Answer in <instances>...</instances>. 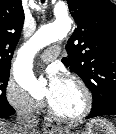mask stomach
<instances>
[{
	"label": "stomach",
	"instance_id": "1",
	"mask_svg": "<svg viewBox=\"0 0 116 134\" xmlns=\"http://www.w3.org/2000/svg\"><path fill=\"white\" fill-rule=\"evenodd\" d=\"M60 134H116V129L108 120L96 118L87 122L81 131L74 133L67 128L61 131Z\"/></svg>",
	"mask_w": 116,
	"mask_h": 134
}]
</instances>
